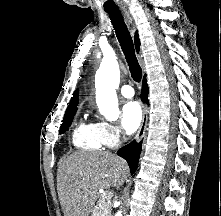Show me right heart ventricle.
<instances>
[{"label": "right heart ventricle", "instance_id": "right-heart-ventricle-1", "mask_svg": "<svg viewBox=\"0 0 221 216\" xmlns=\"http://www.w3.org/2000/svg\"><path fill=\"white\" fill-rule=\"evenodd\" d=\"M72 144L81 150L96 151L102 148L97 123L81 120L72 132Z\"/></svg>", "mask_w": 221, "mask_h": 216}]
</instances>
